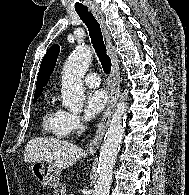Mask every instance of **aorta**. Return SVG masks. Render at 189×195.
<instances>
[{"mask_svg":"<svg viewBox=\"0 0 189 195\" xmlns=\"http://www.w3.org/2000/svg\"><path fill=\"white\" fill-rule=\"evenodd\" d=\"M92 51L84 46L77 47L63 66L62 105L71 111L79 112L84 104L83 77L92 61ZM127 92L120 96L111 122L101 146L97 168V182L94 195H109L113 168L125 131L127 112Z\"/></svg>","mask_w":189,"mask_h":195,"instance_id":"762f6f07","label":"aorta"}]
</instances>
